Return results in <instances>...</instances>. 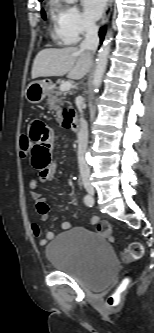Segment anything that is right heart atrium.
<instances>
[{
	"mask_svg": "<svg viewBox=\"0 0 154 333\" xmlns=\"http://www.w3.org/2000/svg\"><path fill=\"white\" fill-rule=\"evenodd\" d=\"M59 25L61 38L66 44H75L95 31V25L75 5L60 6Z\"/></svg>",
	"mask_w": 154,
	"mask_h": 333,
	"instance_id": "right-heart-atrium-1",
	"label": "right heart atrium"
}]
</instances>
